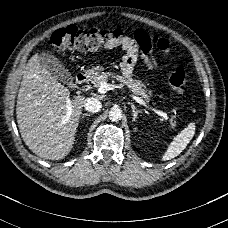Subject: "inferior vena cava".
Wrapping results in <instances>:
<instances>
[{"instance_id": "1", "label": "inferior vena cava", "mask_w": 228, "mask_h": 228, "mask_svg": "<svg viewBox=\"0 0 228 228\" xmlns=\"http://www.w3.org/2000/svg\"><path fill=\"white\" fill-rule=\"evenodd\" d=\"M84 108L90 113H97L101 110L102 105L99 100L91 97L85 100Z\"/></svg>"}]
</instances>
